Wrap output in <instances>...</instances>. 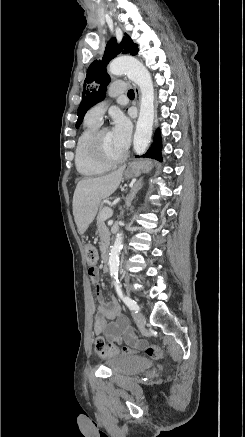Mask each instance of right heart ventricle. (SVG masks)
Wrapping results in <instances>:
<instances>
[{
	"label": "right heart ventricle",
	"instance_id": "right-heart-ventricle-1",
	"mask_svg": "<svg viewBox=\"0 0 245 437\" xmlns=\"http://www.w3.org/2000/svg\"><path fill=\"white\" fill-rule=\"evenodd\" d=\"M99 125V123L85 118L82 130L77 138L75 146V166L77 171L83 176H100L108 172L111 167L96 161L88 150L89 138Z\"/></svg>",
	"mask_w": 245,
	"mask_h": 437
}]
</instances>
